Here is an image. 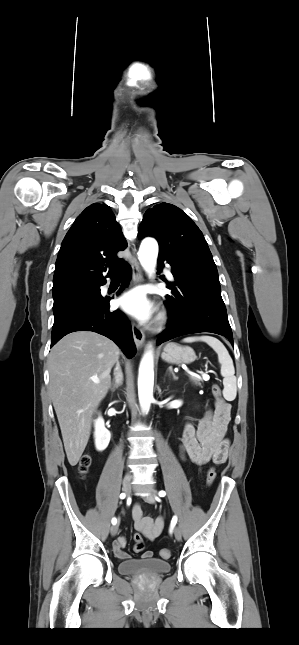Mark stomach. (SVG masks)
Masks as SVG:
<instances>
[{
  "mask_svg": "<svg viewBox=\"0 0 299 645\" xmlns=\"http://www.w3.org/2000/svg\"><path fill=\"white\" fill-rule=\"evenodd\" d=\"M161 358L170 364H189L196 358L195 352L188 346L168 343L161 354Z\"/></svg>",
  "mask_w": 299,
  "mask_h": 645,
  "instance_id": "1",
  "label": "stomach"
}]
</instances>
